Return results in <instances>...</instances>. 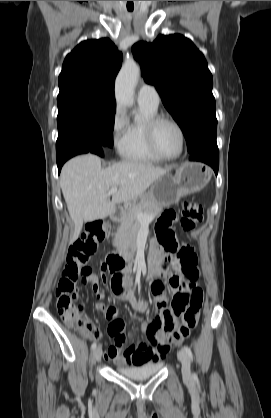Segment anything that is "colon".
<instances>
[{
    "label": "colon",
    "instance_id": "5ec220e1",
    "mask_svg": "<svg viewBox=\"0 0 271 418\" xmlns=\"http://www.w3.org/2000/svg\"><path fill=\"white\" fill-rule=\"evenodd\" d=\"M174 215L164 213L156 226V238L165 250L175 253L179 263V272L191 285L176 294L172 307L181 316V322L167 313L163 322V330L167 332V347L177 346L187 339L196 327L200 310L204 301L202 288L195 285L199 276L197 257L190 246H179L171 225ZM202 221V207L196 202H184L181 209L180 227L184 232L193 230ZM105 238V227L101 221L90 223L86 232L69 249L66 262L56 288V306L62 321L70 326L94 331L93 324L83 313V307L76 303L78 298V282H87L92 275L86 266L89 258L95 253L98 244Z\"/></svg>",
    "mask_w": 271,
    "mask_h": 418
}]
</instances>
